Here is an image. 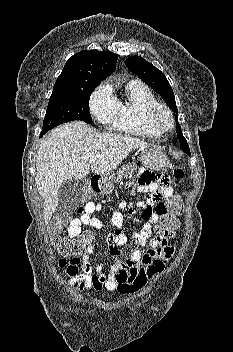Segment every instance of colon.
I'll list each match as a JSON object with an SVG mask.
<instances>
[{"instance_id": "colon-1", "label": "colon", "mask_w": 233, "mask_h": 352, "mask_svg": "<svg viewBox=\"0 0 233 352\" xmlns=\"http://www.w3.org/2000/svg\"><path fill=\"white\" fill-rule=\"evenodd\" d=\"M174 177L182 181L184 179V170L177 166L173 170ZM89 195H84L87 198ZM156 210L161 216L160 223L158 225V231L160 233H167L177 228L179 221L178 216L182 213L183 205L182 200L179 196H172L164 204L157 205ZM67 220L65 218H59L55 220L49 227L51 234V240L54 248L59 254L65 257H76L82 254L86 244L91 240V234L86 233L81 239H71L61 235L64 225ZM103 278L94 274L92 276L93 288L100 290L102 288Z\"/></svg>"}]
</instances>
